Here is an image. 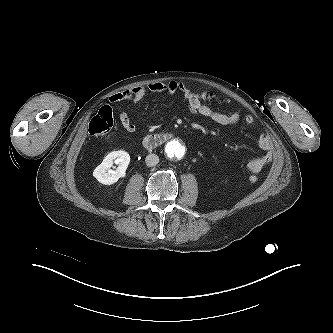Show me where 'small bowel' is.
<instances>
[{
  "label": "small bowel",
  "instance_id": "obj_1",
  "mask_svg": "<svg viewBox=\"0 0 333 333\" xmlns=\"http://www.w3.org/2000/svg\"><path fill=\"white\" fill-rule=\"evenodd\" d=\"M148 93L180 94L186 102L189 112L209 118L219 125H233L242 119L247 125H253L255 122L254 117L249 114L242 117L238 111L222 113L212 109L209 104L222 105L227 100L211 90L202 88L192 89L178 81L155 82L125 89L112 94L109 100L112 103H118L123 100L137 102L142 100ZM119 119L122 127L127 132L133 133L136 131V125L131 121L126 112L120 111ZM257 145L264 153L248 162L247 168L252 173L261 172L273 159L272 144L268 136L264 134L260 135Z\"/></svg>",
  "mask_w": 333,
  "mask_h": 333
}]
</instances>
